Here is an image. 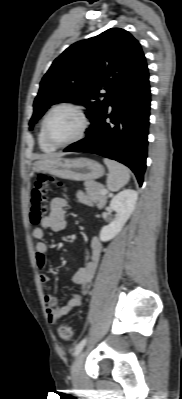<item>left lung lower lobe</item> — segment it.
<instances>
[{
  "instance_id": "1",
  "label": "left lung lower lobe",
  "mask_w": 182,
  "mask_h": 399,
  "mask_svg": "<svg viewBox=\"0 0 182 399\" xmlns=\"http://www.w3.org/2000/svg\"><path fill=\"white\" fill-rule=\"evenodd\" d=\"M150 101L145 63L113 93L106 109L85 132L87 136L64 151L94 153L121 162L134 172L141 186L146 169Z\"/></svg>"
}]
</instances>
